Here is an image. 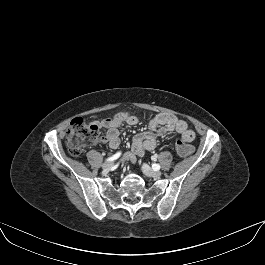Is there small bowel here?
Masks as SVG:
<instances>
[{
  "label": "small bowel",
  "instance_id": "obj_1",
  "mask_svg": "<svg viewBox=\"0 0 265 265\" xmlns=\"http://www.w3.org/2000/svg\"><path fill=\"white\" fill-rule=\"evenodd\" d=\"M138 117L130 112H120L112 118L97 121L94 125L103 132L100 141L115 149L120 144L119 128L124 124L134 126L138 123ZM177 132L183 142L190 143L195 138V133L188 124L168 113H160L149 120V127L145 132L134 136L131 142V152L126 154L124 160L136 162V158L146 151H151L157 146L159 136Z\"/></svg>",
  "mask_w": 265,
  "mask_h": 265
}]
</instances>
